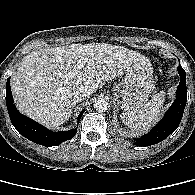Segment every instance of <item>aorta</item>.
Segmentation results:
<instances>
[{"mask_svg":"<svg viewBox=\"0 0 195 195\" xmlns=\"http://www.w3.org/2000/svg\"><path fill=\"white\" fill-rule=\"evenodd\" d=\"M94 108L98 112H105L109 108V103L105 99L99 98L95 100Z\"/></svg>","mask_w":195,"mask_h":195,"instance_id":"1","label":"aorta"}]
</instances>
